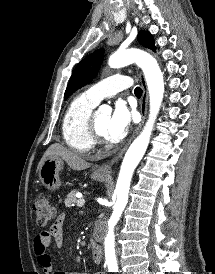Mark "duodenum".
Listing matches in <instances>:
<instances>
[{"label":"duodenum","instance_id":"obj_1","mask_svg":"<svg viewBox=\"0 0 215 274\" xmlns=\"http://www.w3.org/2000/svg\"><path fill=\"white\" fill-rule=\"evenodd\" d=\"M92 260L95 264H101L103 260V251L101 246L97 242L90 244Z\"/></svg>","mask_w":215,"mask_h":274}]
</instances>
